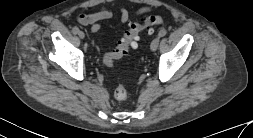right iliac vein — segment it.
I'll use <instances>...</instances> for the list:
<instances>
[{
	"label": "right iliac vein",
	"mask_w": 253,
	"mask_h": 138,
	"mask_svg": "<svg viewBox=\"0 0 253 138\" xmlns=\"http://www.w3.org/2000/svg\"><path fill=\"white\" fill-rule=\"evenodd\" d=\"M77 34H78V36H79L81 39L84 38V31H83L82 29H79V30L77 31Z\"/></svg>",
	"instance_id": "63e3f726"
}]
</instances>
